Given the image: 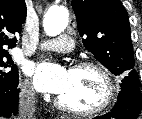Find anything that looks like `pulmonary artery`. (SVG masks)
<instances>
[{
	"mask_svg": "<svg viewBox=\"0 0 142 119\" xmlns=\"http://www.w3.org/2000/svg\"><path fill=\"white\" fill-rule=\"evenodd\" d=\"M39 47L43 50L68 53L73 50L74 43L70 36L62 35L56 39L41 42Z\"/></svg>",
	"mask_w": 142,
	"mask_h": 119,
	"instance_id": "pulmonary-artery-1",
	"label": "pulmonary artery"
}]
</instances>
